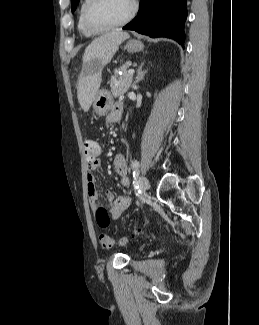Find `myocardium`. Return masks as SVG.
Here are the masks:
<instances>
[{
  "label": "myocardium",
  "mask_w": 259,
  "mask_h": 325,
  "mask_svg": "<svg viewBox=\"0 0 259 325\" xmlns=\"http://www.w3.org/2000/svg\"><path fill=\"white\" fill-rule=\"evenodd\" d=\"M97 2H99V0H87V3L83 9V14H82L83 22H84V25L86 26V28L89 29L90 31L96 32V33L108 31V30L118 28L120 26L125 25L135 16V14L137 12V2H136V0H132L131 1V9H130L129 13L123 19H121L120 21L114 22V23L100 25V24L94 23L90 17V12Z\"/></svg>",
  "instance_id": "f54148a6"
}]
</instances>
